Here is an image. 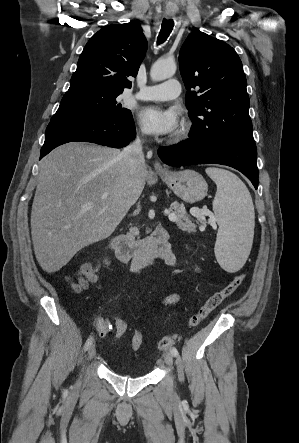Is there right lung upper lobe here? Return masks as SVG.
I'll use <instances>...</instances> for the list:
<instances>
[{
    "label": "right lung upper lobe",
    "instance_id": "1",
    "mask_svg": "<svg viewBox=\"0 0 299 443\" xmlns=\"http://www.w3.org/2000/svg\"><path fill=\"white\" fill-rule=\"evenodd\" d=\"M147 50V41L135 22L108 25L87 42L72 75L70 88L93 87L123 92L131 88Z\"/></svg>",
    "mask_w": 299,
    "mask_h": 443
}]
</instances>
